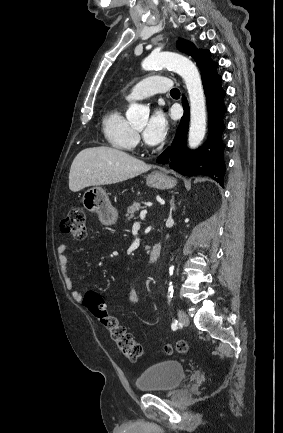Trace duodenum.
Listing matches in <instances>:
<instances>
[{"mask_svg": "<svg viewBox=\"0 0 283 433\" xmlns=\"http://www.w3.org/2000/svg\"><path fill=\"white\" fill-rule=\"evenodd\" d=\"M162 253V246L160 243H156L152 246L151 251H150V255H149V260L151 263H156L161 256Z\"/></svg>", "mask_w": 283, "mask_h": 433, "instance_id": "duodenum-1", "label": "duodenum"}]
</instances>
